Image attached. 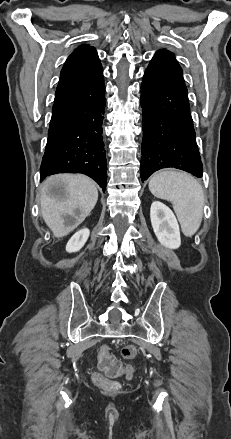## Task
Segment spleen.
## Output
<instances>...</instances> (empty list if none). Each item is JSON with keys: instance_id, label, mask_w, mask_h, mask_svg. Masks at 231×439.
<instances>
[{"instance_id": "spleen-1", "label": "spleen", "mask_w": 231, "mask_h": 439, "mask_svg": "<svg viewBox=\"0 0 231 439\" xmlns=\"http://www.w3.org/2000/svg\"><path fill=\"white\" fill-rule=\"evenodd\" d=\"M149 190L157 198L172 202L182 231L196 233L202 222L204 194L199 182L187 173L161 171L152 176Z\"/></svg>"}]
</instances>
